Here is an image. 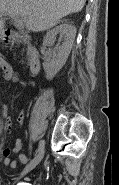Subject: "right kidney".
I'll list each match as a JSON object with an SVG mask.
<instances>
[{
	"label": "right kidney",
	"instance_id": "right-kidney-1",
	"mask_svg": "<svg viewBox=\"0 0 119 185\" xmlns=\"http://www.w3.org/2000/svg\"><path fill=\"white\" fill-rule=\"evenodd\" d=\"M57 34L63 35L64 41L60 46L55 48L52 58L45 60L43 63V68L48 80L53 79L66 63L75 40L76 28L68 23H64L53 28L52 30L48 31L44 37L43 45H53Z\"/></svg>",
	"mask_w": 119,
	"mask_h": 185
}]
</instances>
